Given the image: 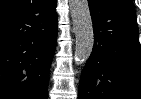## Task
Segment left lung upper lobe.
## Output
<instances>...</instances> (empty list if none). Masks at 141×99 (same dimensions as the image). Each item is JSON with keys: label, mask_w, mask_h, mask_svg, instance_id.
I'll return each mask as SVG.
<instances>
[{"label": "left lung upper lobe", "mask_w": 141, "mask_h": 99, "mask_svg": "<svg viewBox=\"0 0 141 99\" xmlns=\"http://www.w3.org/2000/svg\"><path fill=\"white\" fill-rule=\"evenodd\" d=\"M110 1L114 3H133L132 0H110Z\"/></svg>", "instance_id": "obj_1"}]
</instances>
